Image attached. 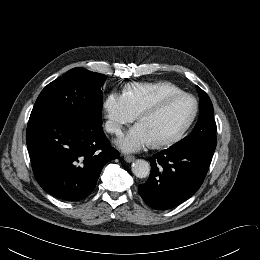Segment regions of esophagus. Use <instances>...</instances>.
<instances>
[{"label":"esophagus","instance_id":"1","mask_svg":"<svg viewBox=\"0 0 260 260\" xmlns=\"http://www.w3.org/2000/svg\"><path fill=\"white\" fill-rule=\"evenodd\" d=\"M124 160L128 163L133 162L135 160V157L132 155H125Z\"/></svg>","mask_w":260,"mask_h":260}]
</instances>
